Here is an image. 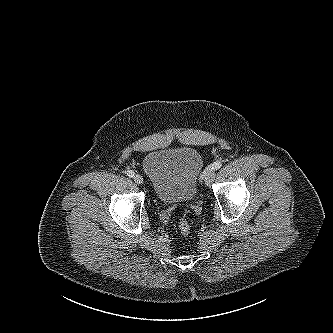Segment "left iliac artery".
<instances>
[{
  "mask_svg": "<svg viewBox=\"0 0 333 333\" xmlns=\"http://www.w3.org/2000/svg\"><path fill=\"white\" fill-rule=\"evenodd\" d=\"M221 166H222V162L216 161L213 164H211L210 166H208V168L206 170L207 171H209L210 169L218 170L219 168H221ZM205 174H206V172H204V175H202V176H205Z\"/></svg>",
  "mask_w": 333,
  "mask_h": 333,
  "instance_id": "left-iliac-artery-1",
  "label": "left iliac artery"
}]
</instances>
